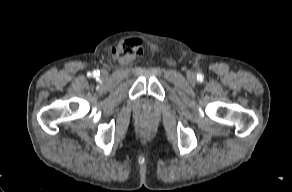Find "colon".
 <instances>
[{
    "label": "colon",
    "mask_w": 292,
    "mask_h": 192,
    "mask_svg": "<svg viewBox=\"0 0 292 192\" xmlns=\"http://www.w3.org/2000/svg\"><path fill=\"white\" fill-rule=\"evenodd\" d=\"M141 49V43L134 40L126 41L122 45V54L125 53H139Z\"/></svg>",
    "instance_id": "colon-1"
}]
</instances>
